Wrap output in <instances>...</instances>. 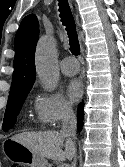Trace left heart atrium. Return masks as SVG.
Listing matches in <instances>:
<instances>
[{"label":"left heart atrium","instance_id":"1","mask_svg":"<svg viewBox=\"0 0 125 167\" xmlns=\"http://www.w3.org/2000/svg\"><path fill=\"white\" fill-rule=\"evenodd\" d=\"M66 93L71 102L78 101L83 94V88L80 81L77 79L70 80L66 86Z\"/></svg>","mask_w":125,"mask_h":167}]
</instances>
